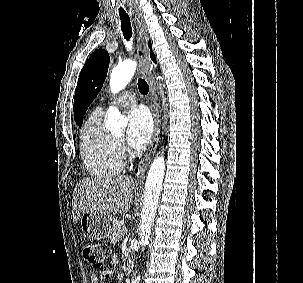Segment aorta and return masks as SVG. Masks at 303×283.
Masks as SVG:
<instances>
[{"mask_svg":"<svg viewBox=\"0 0 303 283\" xmlns=\"http://www.w3.org/2000/svg\"><path fill=\"white\" fill-rule=\"evenodd\" d=\"M137 63L132 60H125L115 67L110 76V90L112 93H118L126 87L136 71ZM127 120L121 115L115 107H110L106 113L105 128L113 134L124 132ZM165 173V159L163 155L157 156L148 172L141 219L139 224L140 245L144 248L149 243L151 228L154 222L159 196L162 190V183ZM130 283H140L139 276H133Z\"/></svg>","mask_w":303,"mask_h":283,"instance_id":"aorta-1","label":"aorta"}]
</instances>
